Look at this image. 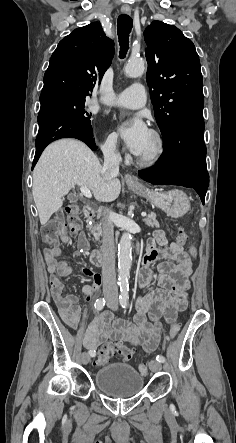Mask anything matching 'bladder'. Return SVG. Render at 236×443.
Here are the masks:
<instances>
[{"label": "bladder", "mask_w": 236, "mask_h": 443, "mask_svg": "<svg viewBox=\"0 0 236 443\" xmlns=\"http://www.w3.org/2000/svg\"><path fill=\"white\" fill-rule=\"evenodd\" d=\"M96 387L112 398H128L137 394L144 384V376L133 366L109 364L95 372Z\"/></svg>", "instance_id": "obj_1"}]
</instances>
